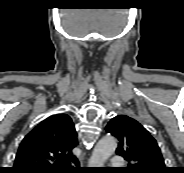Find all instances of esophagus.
Here are the masks:
<instances>
[{
	"instance_id": "obj_1",
	"label": "esophagus",
	"mask_w": 184,
	"mask_h": 173,
	"mask_svg": "<svg viewBox=\"0 0 184 173\" xmlns=\"http://www.w3.org/2000/svg\"><path fill=\"white\" fill-rule=\"evenodd\" d=\"M81 164L83 165L84 164V156L82 155L81 157Z\"/></svg>"
}]
</instances>
